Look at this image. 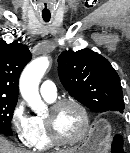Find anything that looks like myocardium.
<instances>
[{"instance_id":"obj_1","label":"myocardium","mask_w":130,"mask_h":153,"mask_svg":"<svg viewBox=\"0 0 130 153\" xmlns=\"http://www.w3.org/2000/svg\"><path fill=\"white\" fill-rule=\"evenodd\" d=\"M65 105L75 106L80 111L81 116H82L83 127H82V130L79 133V135L75 138L62 137L58 133L56 126H55V121H54L55 114L57 113V111L61 107L65 106ZM44 119H45L47 131H48V134H49L51 140L54 143H57L60 145L78 144L86 138V136L90 130V117L87 112V109L85 108V106L81 102H79L78 100L73 99V98H62V99H59V100L53 102L49 108L48 114L44 117Z\"/></svg>"}]
</instances>
